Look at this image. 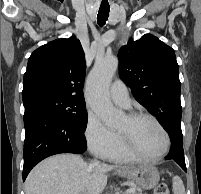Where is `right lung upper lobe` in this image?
<instances>
[{
    "instance_id": "obj_1",
    "label": "right lung upper lobe",
    "mask_w": 201,
    "mask_h": 194,
    "mask_svg": "<svg viewBox=\"0 0 201 194\" xmlns=\"http://www.w3.org/2000/svg\"><path fill=\"white\" fill-rule=\"evenodd\" d=\"M85 70L84 51L76 37L54 40L39 47L28 60L23 102L41 96H60L85 102Z\"/></svg>"
}]
</instances>
